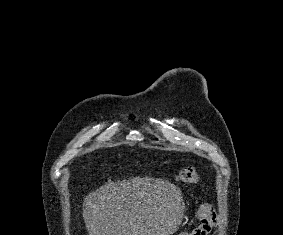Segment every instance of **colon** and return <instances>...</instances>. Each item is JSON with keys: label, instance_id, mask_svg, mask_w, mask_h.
Segmentation results:
<instances>
[{"label": "colon", "instance_id": "colon-1", "mask_svg": "<svg viewBox=\"0 0 283 235\" xmlns=\"http://www.w3.org/2000/svg\"><path fill=\"white\" fill-rule=\"evenodd\" d=\"M178 179L185 183L197 184L200 181L197 170L193 167H185L178 173Z\"/></svg>", "mask_w": 283, "mask_h": 235}]
</instances>
